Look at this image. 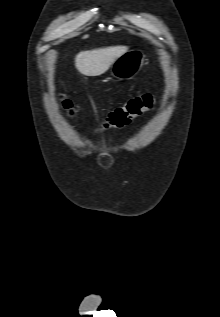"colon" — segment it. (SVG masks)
I'll return each mask as SVG.
<instances>
[{"label":"colon","mask_w":220,"mask_h":317,"mask_svg":"<svg viewBox=\"0 0 220 317\" xmlns=\"http://www.w3.org/2000/svg\"><path fill=\"white\" fill-rule=\"evenodd\" d=\"M59 104L62 110L70 118L75 117V110L71 100L60 97ZM155 96L153 94H143L130 98L123 105L111 110L104 121L99 125V131L120 129L131 123L133 119L153 108Z\"/></svg>","instance_id":"colon-1"}]
</instances>
